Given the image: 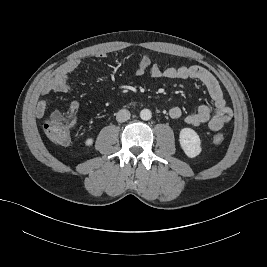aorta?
<instances>
[{
	"label": "aorta",
	"mask_w": 267,
	"mask_h": 267,
	"mask_svg": "<svg viewBox=\"0 0 267 267\" xmlns=\"http://www.w3.org/2000/svg\"><path fill=\"white\" fill-rule=\"evenodd\" d=\"M151 117H152V113H151V111L149 109H143V110H141V112H140V118L142 120L147 121V120H150Z\"/></svg>",
	"instance_id": "aorta-1"
}]
</instances>
